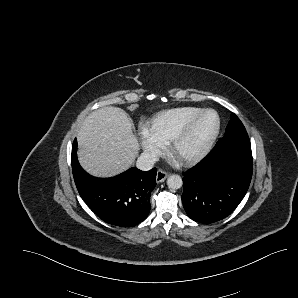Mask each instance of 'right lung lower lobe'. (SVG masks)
Listing matches in <instances>:
<instances>
[{"instance_id": "98d812e1", "label": "right lung lower lobe", "mask_w": 298, "mask_h": 298, "mask_svg": "<svg viewBox=\"0 0 298 298\" xmlns=\"http://www.w3.org/2000/svg\"><path fill=\"white\" fill-rule=\"evenodd\" d=\"M77 141L72 146L73 177L82 199L103 221L132 227L150 212V196L156 186L157 169L141 171L135 167L113 178L90 176L77 160Z\"/></svg>"}]
</instances>
